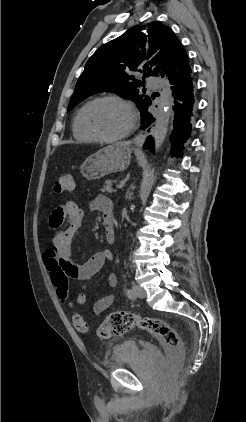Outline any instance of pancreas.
<instances>
[{
  "label": "pancreas",
  "mask_w": 246,
  "mask_h": 422,
  "mask_svg": "<svg viewBox=\"0 0 246 422\" xmlns=\"http://www.w3.org/2000/svg\"><path fill=\"white\" fill-rule=\"evenodd\" d=\"M112 183H113L112 180H106L103 188L101 189V191L102 192H109V193L113 192L114 190L112 189Z\"/></svg>",
  "instance_id": "pancreas-1"
}]
</instances>
